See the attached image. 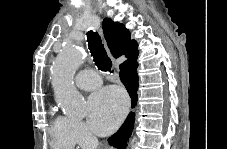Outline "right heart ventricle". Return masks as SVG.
Here are the masks:
<instances>
[{
  "label": "right heart ventricle",
  "mask_w": 227,
  "mask_h": 149,
  "mask_svg": "<svg viewBox=\"0 0 227 149\" xmlns=\"http://www.w3.org/2000/svg\"><path fill=\"white\" fill-rule=\"evenodd\" d=\"M50 114L52 119L50 122L49 132L52 145L61 146L64 148L73 147L75 142L70 132V120L63 116L55 115L53 110L50 112Z\"/></svg>",
  "instance_id": "obj_1"
}]
</instances>
